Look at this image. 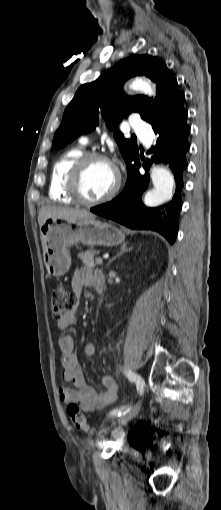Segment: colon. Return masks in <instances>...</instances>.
<instances>
[{
	"instance_id": "1",
	"label": "colon",
	"mask_w": 221,
	"mask_h": 510,
	"mask_svg": "<svg viewBox=\"0 0 221 510\" xmlns=\"http://www.w3.org/2000/svg\"><path fill=\"white\" fill-rule=\"evenodd\" d=\"M75 305L74 295L64 285H58L52 291L51 296V314L55 319H60L66 313L70 312ZM68 415L72 424L80 430L93 433V429L89 426L86 416L81 412L76 403H70L67 407Z\"/></svg>"
}]
</instances>
